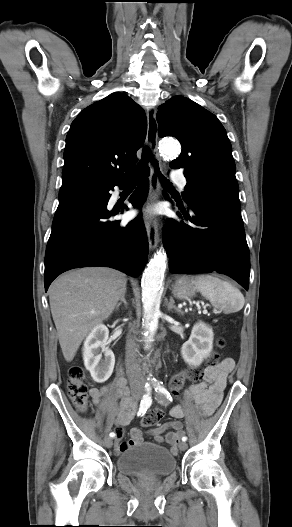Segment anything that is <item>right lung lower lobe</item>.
I'll return each instance as SVG.
<instances>
[{
  "label": "right lung lower lobe",
  "instance_id": "1",
  "mask_svg": "<svg viewBox=\"0 0 292 527\" xmlns=\"http://www.w3.org/2000/svg\"><path fill=\"white\" fill-rule=\"evenodd\" d=\"M149 168L141 174V183L129 198L141 207L149 190ZM127 179L106 187H61L52 232L45 254L44 284L47 291L61 273L79 267L105 266L128 275H140L147 262L148 242L140 216L125 225L113 220L127 206L107 208L109 190L124 187Z\"/></svg>",
  "mask_w": 292,
  "mask_h": 527
}]
</instances>
